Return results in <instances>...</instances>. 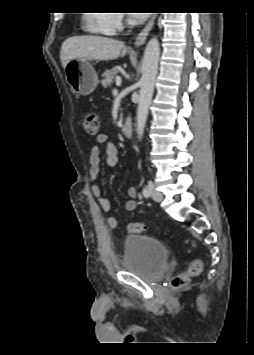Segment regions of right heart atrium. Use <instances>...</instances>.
I'll return each instance as SVG.
<instances>
[{
	"instance_id": "1",
	"label": "right heart atrium",
	"mask_w": 254,
	"mask_h": 355,
	"mask_svg": "<svg viewBox=\"0 0 254 355\" xmlns=\"http://www.w3.org/2000/svg\"><path fill=\"white\" fill-rule=\"evenodd\" d=\"M102 24L111 34L121 31L126 24L125 16L118 10L105 12L102 17Z\"/></svg>"
}]
</instances>
